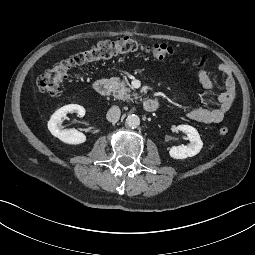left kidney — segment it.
Returning <instances> with one entry per match:
<instances>
[{"label": "left kidney", "mask_w": 255, "mask_h": 255, "mask_svg": "<svg viewBox=\"0 0 255 255\" xmlns=\"http://www.w3.org/2000/svg\"><path fill=\"white\" fill-rule=\"evenodd\" d=\"M177 130L186 134L190 141L188 145L173 146L169 155L174 159H185L197 155L203 147V142L197 130L190 125H179Z\"/></svg>", "instance_id": "1"}]
</instances>
